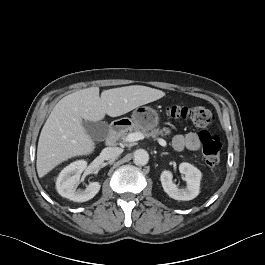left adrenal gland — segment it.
Masks as SVG:
<instances>
[{"label":"left adrenal gland","instance_id":"a2214340","mask_svg":"<svg viewBox=\"0 0 265 265\" xmlns=\"http://www.w3.org/2000/svg\"><path fill=\"white\" fill-rule=\"evenodd\" d=\"M169 153L168 152H163V153H161V156L162 155H168Z\"/></svg>","mask_w":265,"mask_h":265}]
</instances>
